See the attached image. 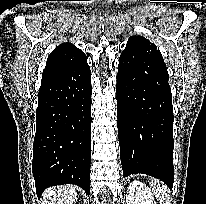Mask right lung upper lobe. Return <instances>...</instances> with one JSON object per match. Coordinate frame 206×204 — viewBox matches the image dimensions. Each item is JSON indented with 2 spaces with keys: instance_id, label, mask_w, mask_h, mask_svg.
Segmentation results:
<instances>
[{
  "instance_id": "1",
  "label": "right lung upper lobe",
  "mask_w": 206,
  "mask_h": 204,
  "mask_svg": "<svg viewBox=\"0 0 206 204\" xmlns=\"http://www.w3.org/2000/svg\"><path fill=\"white\" fill-rule=\"evenodd\" d=\"M87 59L86 55L74 45L63 43L49 55L42 77H47Z\"/></svg>"
}]
</instances>
